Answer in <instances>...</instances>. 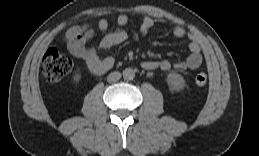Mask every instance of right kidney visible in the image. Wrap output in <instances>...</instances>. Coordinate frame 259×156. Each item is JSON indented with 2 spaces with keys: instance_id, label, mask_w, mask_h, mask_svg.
Wrapping results in <instances>:
<instances>
[{
  "instance_id": "1",
  "label": "right kidney",
  "mask_w": 259,
  "mask_h": 156,
  "mask_svg": "<svg viewBox=\"0 0 259 156\" xmlns=\"http://www.w3.org/2000/svg\"><path fill=\"white\" fill-rule=\"evenodd\" d=\"M80 79H81V74H80V73L76 74V75L73 77L74 83H78V82L80 81Z\"/></svg>"
}]
</instances>
